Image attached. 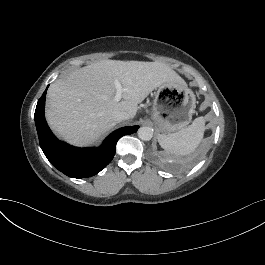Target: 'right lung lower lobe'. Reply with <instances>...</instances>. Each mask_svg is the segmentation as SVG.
Returning a JSON list of instances; mask_svg holds the SVG:
<instances>
[{
	"mask_svg": "<svg viewBox=\"0 0 265 265\" xmlns=\"http://www.w3.org/2000/svg\"><path fill=\"white\" fill-rule=\"evenodd\" d=\"M46 90L37 103L34 115L40 147L50 163L69 177L85 178L100 172L113 159L117 141L124 135L136 132L139 128V126H129L117 129L98 148L71 146L59 141L46 123L44 117Z\"/></svg>",
	"mask_w": 265,
	"mask_h": 265,
	"instance_id": "right-lung-lower-lobe-1",
	"label": "right lung lower lobe"
}]
</instances>
